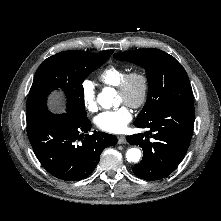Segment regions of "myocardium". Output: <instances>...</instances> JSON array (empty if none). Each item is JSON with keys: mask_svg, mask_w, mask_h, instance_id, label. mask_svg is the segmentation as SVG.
Here are the masks:
<instances>
[{"mask_svg": "<svg viewBox=\"0 0 221 221\" xmlns=\"http://www.w3.org/2000/svg\"><path fill=\"white\" fill-rule=\"evenodd\" d=\"M135 82L139 83L140 91L136 98L131 99L129 97V94L131 87ZM117 89L118 93L126 98V104L135 109L141 108L142 106H144L149 96V78L147 74L142 70L131 71L124 76Z\"/></svg>", "mask_w": 221, "mask_h": 221, "instance_id": "1", "label": "myocardium"}]
</instances>
